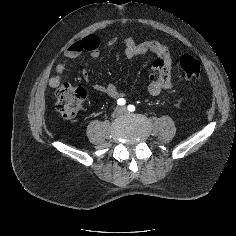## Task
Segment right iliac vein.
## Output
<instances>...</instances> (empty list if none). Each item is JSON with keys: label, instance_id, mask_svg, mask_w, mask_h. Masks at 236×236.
Instances as JSON below:
<instances>
[{"label": "right iliac vein", "instance_id": "63e3f726", "mask_svg": "<svg viewBox=\"0 0 236 236\" xmlns=\"http://www.w3.org/2000/svg\"><path fill=\"white\" fill-rule=\"evenodd\" d=\"M124 112V109H122V108H118V109H116L114 112H113V117H118V116H120L122 113Z\"/></svg>", "mask_w": 236, "mask_h": 236}]
</instances>
